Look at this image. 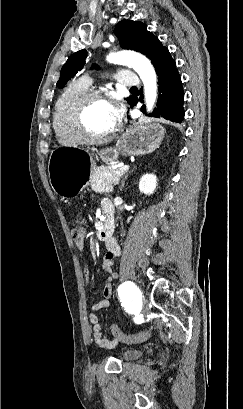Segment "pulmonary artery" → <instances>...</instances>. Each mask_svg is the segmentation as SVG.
<instances>
[{
    "instance_id": "pulmonary-artery-1",
    "label": "pulmonary artery",
    "mask_w": 243,
    "mask_h": 409,
    "mask_svg": "<svg viewBox=\"0 0 243 409\" xmlns=\"http://www.w3.org/2000/svg\"><path fill=\"white\" fill-rule=\"evenodd\" d=\"M117 82L124 87H136L140 84L137 75L131 71H121L117 74ZM83 80L89 85L91 80L88 77Z\"/></svg>"
}]
</instances>
